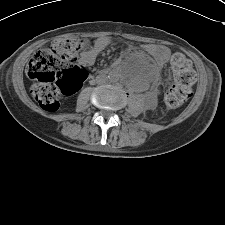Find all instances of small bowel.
<instances>
[{"mask_svg": "<svg viewBox=\"0 0 225 225\" xmlns=\"http://www.w3.org/2000/svg\"><path fill=\"white\" fill-rule=\"evenodd\" d=\"M111 38L107 36L98 37L93 45L84 50L81 54L80 62L84 66H91L95 63L97 56L110 44ZM145 50L153 56L154 63L157 67L165 64L170 57V50L162 45H148ZM132 54L130 50L125 52V56Z\"/></svg>", "mask_w": 225, "mask_h": 225, "instance_id": "obj_1", "label": "small bowel"}]
</instances>
